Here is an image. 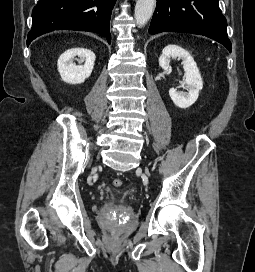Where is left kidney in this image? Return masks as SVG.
I'll return each mask as SVG.
<instances>
[{
	"label": "left kidney",
	"instance_id": "obj_1",
	"mask_svg": "<svg viewBox=\"0 0 255 272\" xmlns=\"http://www.w3.org/2000/svg\"><path fill=\"white\" fill-rule=\"evenodd\" d=\"M181 59L186 74V79L181 82L180 87L187 89V93L177 92L175 88L169 90V95L173 103L180 108H188L195 103L199 96V91L203 88L202 78L193 57L185 49L177 45L166 46L159 58L160 67L167 71L171 68V59Z\"/></svg>",
	"mask_w": 255,
	"mask_h": 272
}]
</instances>
